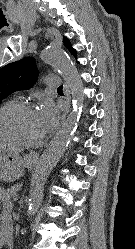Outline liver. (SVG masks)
<instances>
[{"mask_svg":"<svg viewBox=\"0 0 135 249\" xmlns=\"http://www.w3.org/2000/svg\"><path fill=\"white\" fill-rule=\"evenodd\" d=\"M9 150L13 151V152H16V153H19V150L16 149V148H8Z\"/></svg>","mask_w":135,"mask_h":249,"instance_id":"obj_1","label":"liver"}]
</instances>
